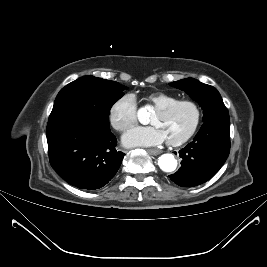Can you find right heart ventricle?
Returning <instances> with one entry per match:
<instances>
[{
	"label": "right heart ventricle",
	"mask_w": 267,
	"mask_h": 267,
	"mask_svg": "<svg viewBox=\"0 0 267 267\" xmlns=\"http://www.w3.org/2000/svg\"><path fill=\"white\" fill-rule=\"evenodd\" d=\"M177 100H179L178 97L171 95V94L163 93V92H156V93L150 94L147 97L148 103L151 106H153L155 109L163 107Z\"/></svg>",
	"instance_id": "e07e8e85"
}]
</instances>
